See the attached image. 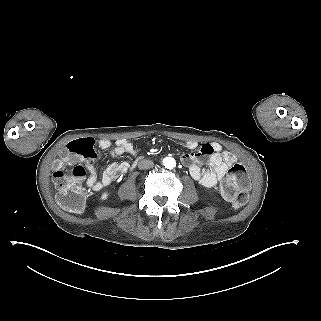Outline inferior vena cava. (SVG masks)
<instances>
[{
    "instance_id": "obj_1",
    "label": "inferior vena cava",
    "mask_w": 321,
    "mask_h": 321,
    "mask_svg": "<svg viewBox=\"0 0 321 321\" xmlns=\"http://www.w3.org/2000/svg\"><path fill=\"white\" fill-rule=\"evenodd\" d=\"M153 166H154V163L151 160L143 159V160L139 161V163H138V168L141 170L142 169H150Z\"/></svg>"
}]
</instances>
